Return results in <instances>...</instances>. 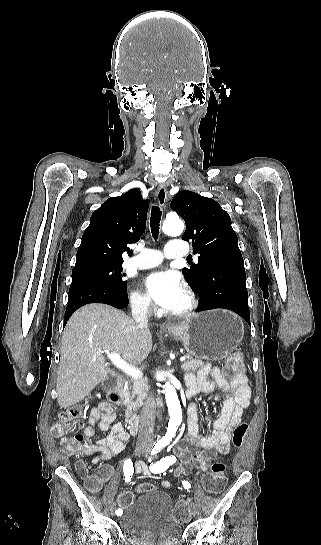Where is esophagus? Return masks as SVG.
I'll list each match as a JSON object with an SVG mask.
<instances>
[{"mask_svg": "<svg viewBox=\"0 0 321 545\" xmlns=\"http://www.w3.org/2000/svg\"><path fill=\"white\" fill-rule=\"evenodd\" d=\"M157 200H158V203H159L160 207H164L165 202L167 200V189H166L165 185H161L158 188ZM162 328L173 329L174 325L172 323H165L164 325H162Z\"/></svg>", "mask_w": 321, "mask_h": 545, "instance_id": "34e87169", "label": "esophagus"}]
</instances>
